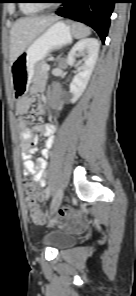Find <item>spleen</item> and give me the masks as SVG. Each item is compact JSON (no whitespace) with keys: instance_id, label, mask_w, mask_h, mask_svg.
Masks as SVG:
<instances>
[{"instance_id":"obj_1","label":"spleen","mask_w":136,"mask_h":296,"mask_svg":"<svg viewBox=\"0 0 136 296\" xmlns=\"http://www.w3.org/2000/svg\"><path fill=\"white\" fill-rule=\"evenodd\" d=\"M72 33L76 38L87 37L91 34V30L84 24L81 23H73L72 24Z\"/></svg>"}]
</instances>
